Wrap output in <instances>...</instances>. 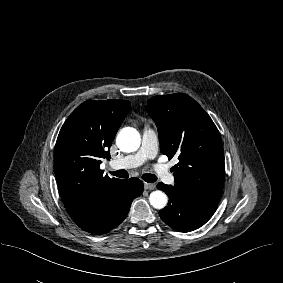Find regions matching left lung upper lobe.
<instances>
[{
    "label": "left lung upper lobe",
    "mask_w": 283,
    "mask_h": 283,
    "mask_svg": "<svg viewBox=\"0 0 283 283\" xmlns=\"http://www.w3.org/2000/svg\"><path fill=\"white\" fill-rule=\"evenodd\" d=\"M146 108L157 125L162 154L178 156L172 169L175 185L218 204L225 170L221 136L212 119L186 94L154 96Z\"/></svg>",
    "instance_id": "1"
}]
</instances>
